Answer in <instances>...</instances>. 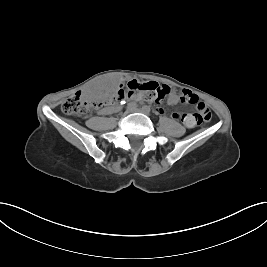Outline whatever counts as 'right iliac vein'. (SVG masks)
Wrapping results in <instances>:
<instances>
[{"label": "right iliac vein", "mask_w": 267, "mask_h": 267, "mask_svg": "<svg viewBox=\"0 0 267 267\" xmlns=\"http://www.w3.org/2000/svg\"><path fill=\"white\" fill-rule=\"evenodd\" d=\"M130 113V111H126L123 113V116H127Z\"/></svg>", "instance_id": "right-iliac-vein-1"}]
</instances>
